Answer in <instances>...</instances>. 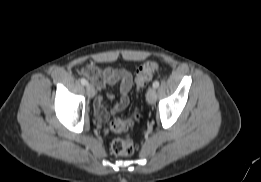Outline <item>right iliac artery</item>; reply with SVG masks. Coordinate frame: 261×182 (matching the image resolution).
<instances>
[{
	"label": "right iliac artery",
	"instance_id": "82829eb1",
	"mask_svg": "<svg viewBox=\"0 0 261 182\" xmlns=\"http://www.w3.org/2000/svg\"><path fill=\"white\" fill-rule=\"evenodd\" d=\"M80 81H81L82 85H87L88 84V81L86 79H84V78H82Z\"/></svg>",
	"mask_w": 261,
	"mask_h": 182
}]
</instances>
